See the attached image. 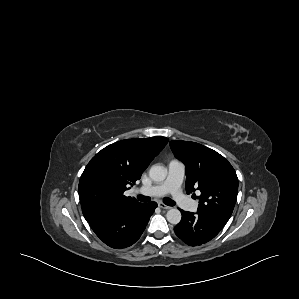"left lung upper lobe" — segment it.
<instances>
[{
    "instance_id": "left-lung-upper-lobe-1",
    "label": "left lung upper lobe",
    "mask_w": 299,
    "mask_h": 299,
    "mask_svg": "<svg viewBox=\"0 0 299 299\" xmlns=\"http://www.w3.org/2000/svg\"><path fill=\"white\" fill-rule=\"evenodd\" d=\"M170 146L186 166L187 194L201 192L197 212L224 226L238 192V178L231 164L216 151L195 142L173 140Z\"/></svg>"
}]
</instances>
